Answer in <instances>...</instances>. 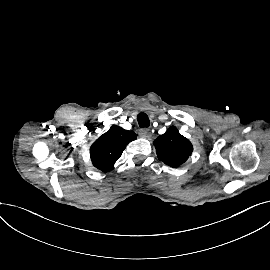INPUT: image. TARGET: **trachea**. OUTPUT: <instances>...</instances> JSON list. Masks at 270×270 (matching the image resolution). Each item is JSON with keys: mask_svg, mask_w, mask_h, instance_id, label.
I'll use <instances>...</instances> for the list:
<instances>
[{"mask_svg": "<svg viewBox=\"0 0 270 270\" xmlns=\"http://www.w3.org/2000/svg\"><path fill=\"white\" fill-rule=\"evenodd\" d=\"M137 121L141 128L150 126V120L146 113H139L137 116Z\"/></svg>", "mask_w": 270, "mask_h": 270, "instance_id": "trachea-1", "label": "trachea"}]
</instances>
